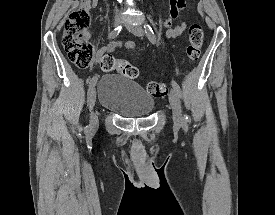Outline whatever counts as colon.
<instances>
[{
  "label": "colon",
  "instance_id": "obj_1",
  "mask_svg": "<svg viewBox=\"0 0 275 215\" xmlns=\"http://www.w3.org/2000/svg\"><path fill=\"white\" fill-rule=\"evenodd\" d=\"M92 0H79V4L69 14L64 24L63 47L70 60L79 67H86L92 63L93 51L89 42L86 28L90 21V7ZM204 32L201 24L192 23L188 30L186 58L192 63L200 58ZM104 72L118 71L128 79L138 77V69L128 60L118 59L106 54L100 61ZM147 92L155 98L168 94V87L164 82L150 81L146 85Z\"/></svg>",
  "mask_w": 275,
  "mask_h": 215
}]
</instances>
